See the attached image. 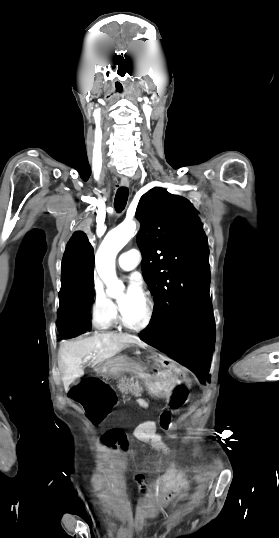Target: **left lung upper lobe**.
Segmentation results:
<instances>
[{
  "label": "left lung upper lobe",
  "instance_id": "left-lung-upper-lobe-1",
  "mask_svg": "<svg viewBox=\"0 0 279 538\" xmlns=\"http://www.w3.org/2000/svg\"><path fill=\"white\" fill-rule=\"evenodd\" d=\"M136 218L141 223L137 243L143 276L155 301L145 330L158 333L194 301L209 295L207 237L190 202L163 188L155 187L141 197Z\"/></svg>",
  "mask_w": 279,
  "mask_h": 538
}]
</instances>
